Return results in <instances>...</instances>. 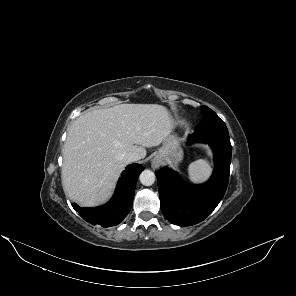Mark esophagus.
Wrapping results in <instances>:
<instances>
[{"instance_id": "obj_1", "label": "esophagus", "mask_w": 296, "mask_h": 296, "mask_svg": "<svg viewBox=\"0 0 296 296\" xmlns=\"http://www.w3.org/2000/svg\"><path fill=\"white\" fill-rule=\"evenodd\" d=\"M161 162L158 160V159H154L152 161V167L155 169V168H158L160 166Z\"/></svg>"}]
</instances>
